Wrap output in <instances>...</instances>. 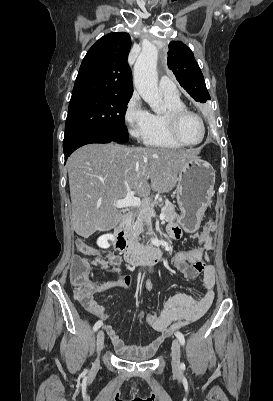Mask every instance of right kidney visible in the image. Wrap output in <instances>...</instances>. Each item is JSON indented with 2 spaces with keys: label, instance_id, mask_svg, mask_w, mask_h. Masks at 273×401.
<instances>
[{
  "label": "right kidney",
  "instance_id": "ca27d5eb",
  "mask_svg": "<svg viewBox=\"0 0 273 401\" xmlns=\"http://www.w3.org/2000/svg\"><path fill=\"white\" fill-rule=\"evenodd\" d=\"M113 239V235H102V237L97 239V245L100 249H109L110 245H112Z\"/></svg>",
  "mask_w": 273,
  "mask_h": 401
}]
</instances>
